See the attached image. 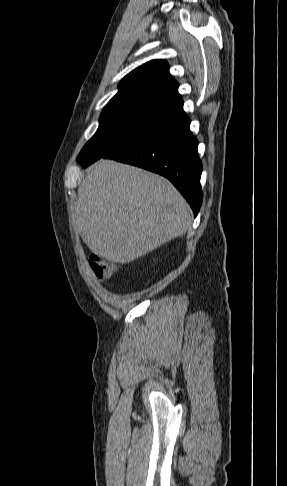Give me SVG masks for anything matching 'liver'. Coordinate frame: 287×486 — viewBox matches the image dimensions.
<instances>
[{
    "label": "liver",
    "mask_w": 287,
    "mask_h": 486,
    "mask_svg": "<svg viewBox=\"0 0 287 486\" xmlns=\"http://www.w3.org/2000/svg\"><path fill=\"white\" fill-rule=\"evenodd\" d=\"M74 219L90 250L119 264L152 252L191 225L190 208L167 179L108 159L79 181Z\"/></svg>",
    "instance_id": "obj_1"
}]
</instances>
